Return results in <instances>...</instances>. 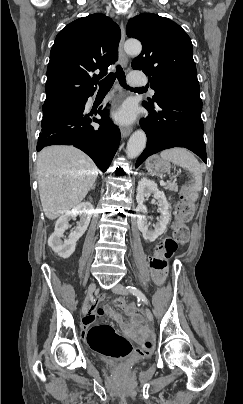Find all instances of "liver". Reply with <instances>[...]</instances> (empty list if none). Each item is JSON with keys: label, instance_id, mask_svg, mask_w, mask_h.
<instances>
[{"label": "liver", "instance_id": "obj_1", "mask_svg": "<svg viewBox=\"0 0 243 404\" xmlns=\"http://www.w3.org/2000/svg\"><path fill=\"white\" fill-rule=\"evenodd\" d=\"M98 168L81 150L49 146L38 154L37 176L43 212L55 220L78 206L97 176Z\"/></svg>", "mask_w": 243, "mask_h": 404}]
</instances>
